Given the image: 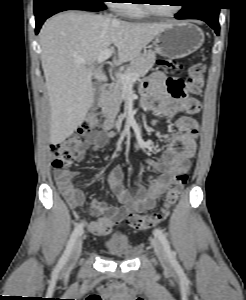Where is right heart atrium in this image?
<instances>
[{
    "instance_id": "right-heart-atrium-1",
    "label": "right heart atrium",
    "mask_w": 246,
    "mask_h": 300,
    "mask_svg": "<svg viewBox=\"0 0 246 300\" xmlns=\"http://www.w3.org/2000/svg\"><path fill=\"white\" fill-rule=\"evenodd\" d=\"M122 1H125V0H112V1L110 2V4L112 5V7H113L114 9L120 11L121 6H122L123 4H125V3H123V4L120 3V2H122Z\"/></svg>"
}]
</instances>
